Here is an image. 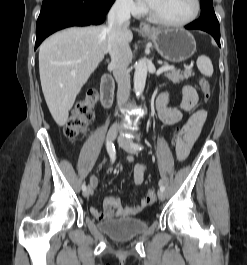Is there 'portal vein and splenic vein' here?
I'll return each instance as SVG.
<instances>
[{
    "label": "portal vein and splenic vein",
    "instance_id": "1",
    "mask_svg": "<svg viewBox=\"0 0 247 265\" xmlns=\"http://www.w3.org/2000/svg\"><path fill=\"white\" fill-rule=\"evenodd\" d=\"M171 69H175L173 66H162L157 70V75H160L162 72L166 71V70H171Z\"/></svg>",
    "mask_w": 247,
    "mask_h": 265
}]
</instances>
